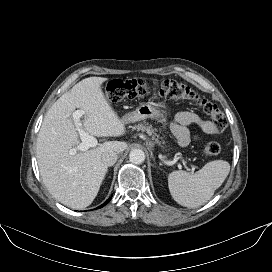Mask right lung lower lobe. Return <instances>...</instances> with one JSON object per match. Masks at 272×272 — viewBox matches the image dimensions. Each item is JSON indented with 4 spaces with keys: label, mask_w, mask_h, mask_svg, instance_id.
Masks as SVG:
<instances>
[{
    "label": "right lung lower lobe",
    "mask_w": 272,
    "mask_h": 272,
    "mask_svg": "<svg viewBox=\"0 0 272 272\" xmlns=\"http://www.w3.org/2000/svg\"><path fill=\"white\" fill-rule=\"evenodd\" d=\"M111 200V198L110 199H108L103 205H101L100 207H98V208H101V207H103L104 205H106L109 201Z\"/></svg>",
    "instance_id": "1"
}]
</instances>
